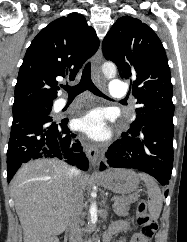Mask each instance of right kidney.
<instances>
[{
  "label": "right kidney",
  "instance_id": "obj_1",
  "mask_svg": "<svg viewBox=\"0 0 187 242\" xmlns=\"http://www.w3.org/2000/svg\"><path fill=\"white\" fill-rule=\"evenodd\" d=\"M45 242H59V240L56 237H51L47 239Z\"/></svg>",
  "mask_w": 187,
  "mask_h": 242
}]
</instances>
